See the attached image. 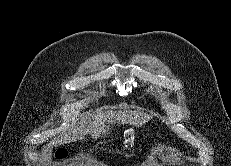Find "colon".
I'll list each match as a JSON object with an SVG mask.
<instances>
[{
    "instance_id": "1",
    "label": "colon",
    "mask_w": 231,
    "mask_h": 166,
    "mask_svg": "<svg viewBox=\"0 0 231 166\" xmlns=\"http://www.w3.org/2000/svg\"><path fill=\"white\" fill-rule=\"evenodd\" d=\"M57 159H63L66 157V152L64 150H59L55 154Z\"/></svg>"
}]
</instances>
